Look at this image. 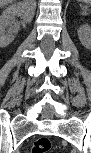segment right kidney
<instances>
[{
  "instance_id": "obj_1",
  "label": "right kidney",
  "mask_w": 91,
  "mask_h": 153,
  "mask_svg": "<svg viewBox=\"0 0 91 153\" xmlns=\"http://www.w3.org/2000/svg\"><path fill=\"white\" fill-rule=\"evenodd\" d=\"M36 3L31 1H22L7 7L0 16V46H8L15 38L8 28L16 24V17H22L25 23H30L34 17Z\"/></svg>"
}]
</instances>
